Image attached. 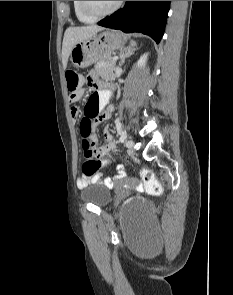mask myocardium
<instances>
[{"mask_svg": "<svg viewBox=\"0 0 233 295\" xmlns=\"http://www.w3.org/2000/svg\"><path fill=\"white\" fill-rule=\"evenodd\" d=\"M122 2L123 1H117L110 9H108L104 12L94 11L90 7L88 1H79V5H80L81 11L84 14H86L87 16L92 17L94 19H98V18L109 16V15L113 14L114 12H116L120 8V6L122 5Z\"/></svg>", "mask_w": 233, "mask_h": 295, "instance_id": "1", "label": "myocardium"}]
</instances>
